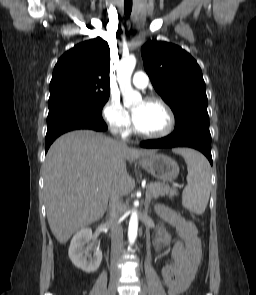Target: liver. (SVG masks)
<instances>
[{"instance_id":"6515ba94","label":"liver","mask_w":256,"mask_h":295,"mask_svg":"<svg viewBox=\"0 0 256 295\" xmlns=\"http://www.w3.org/2000/svg\"><path fill=\"white\" fill-rule=\"evenodd\" d=\"M154 153L129 148L91 130L59 137L43 166L47 219L57 241L65 244L79 229L101 219L112 184L118 182L123 195L133 187L126 161Z\"/></svg>"}]
</instances>
